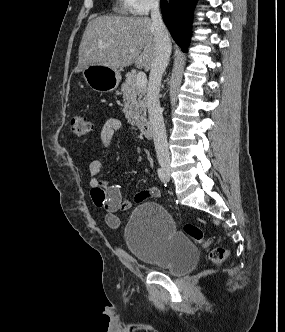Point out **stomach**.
<instances>
[{"label": "stomach", "mask_w": 285, "mask_h": 332, "mask_svg": "<svg viewBox=\"0 0 285 332\" xmlns=\"http://www.w3.org/2000/svg\"><path fill=\"white\" fill-rule=\"evenodd\" d=\"M83 77L87 85L97 92H111L120 81L121 74L117 69L103 65H90L83 70Z\"/></svg>", "instance_id": "stomach-1"}]
</instances>
